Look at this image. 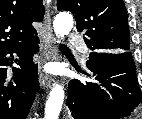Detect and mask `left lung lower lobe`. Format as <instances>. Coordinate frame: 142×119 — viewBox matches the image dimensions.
<instances>
[{"instance_id": "0a47b994", "label": "left lung lower lobe", "mask_w": 142, "mask_h": 119, "mask_svg": "<svg viewBox=\"0 0 142 119\" xmlns=\"http://www.w3.org/2000/svg\"><path fill=\"white\" fill-rule=\"evenodd\" d=\"M87 67L91 81L72 80L66 105L74 119H122L142 102L130 52L94 51Z\"/></svg>"}]
</instances>
